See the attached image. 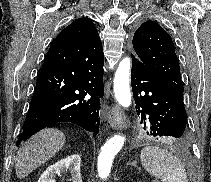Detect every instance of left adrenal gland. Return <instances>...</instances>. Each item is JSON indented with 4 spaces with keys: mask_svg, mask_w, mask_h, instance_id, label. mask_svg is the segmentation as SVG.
Here are the masks:
<instances>
[{
    "mask_svg": "<svg viewBox=\"0 0 211 182\" xmlns=\"http://www.w3.org/2000/svg\"><path fill=\"white\" fill-rule=\"evenodd\" d=\"M127 165H131V166L137 167L136 162H130V163H127Z\"/></svg>",
    "mask_w": 211,
    "mask_h": 182,
    "instance_id": "obj_1",
    "label": "left adrenal gland"
}]
</instances>
